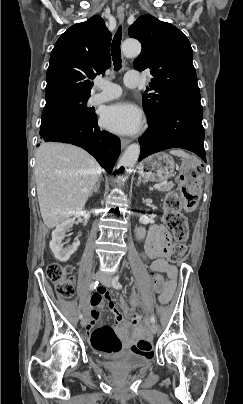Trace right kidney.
Instances as JSON below:
<instances>
[{
    "label": "right kidney",
    "mask_w": 243,
    "mask_h": 404,
    "mask_svg": "<svg viewBox=\"0 0 243 404\" xmlns=\"http://www.w3.org/2000/svg\"><path fill=\"white\" fill-rule=\"evenodd\" d=\"M84 218V226L87 224V220L90 218V214L88 212H75V218ZM75 218H70V220H65L62 224L57 226L56 230L52 232V240L50 242V248L59 262H67L70 256L76 252L78 246H80V242H73L71 246H66L63 248V240L65 238L66 232H69L70 228H72Z\"/></svg>",
    "instance_id": "obj_1"
}]
</instances>
